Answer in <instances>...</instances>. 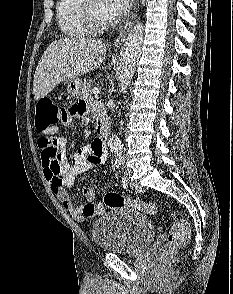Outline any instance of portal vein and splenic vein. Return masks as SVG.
I'll return each mask as SVG.
<instances>
[{
    "mask_svg": "<svg viewBox=\"0 0 233 294\" xmlns=\"http://www.w3.org/2000/svg\"><path fill=\"white\" fill-rule=\"evenodd\" d=\"M92 92L94 95H98L100 93V89L99 88H93Z\"/></svg>",
    "mask_w": 233,
    "mask_h": 294,
    "instance_id": "1",
    "label": "portal vein and splenic vein"
}]
</instances>
